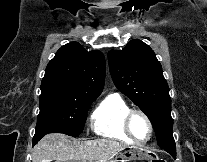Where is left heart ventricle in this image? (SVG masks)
Instances as JSON below:
<instances>
[{
	"mask_svg": "<svg viewBox=\"0 0 207 162\" xmlns=\"http://www.w3.org/2000/svg\"><path fill=\"white\" fill-rule=\"evenodd\" d=\"M131 131L138 140H144L149 135V128L142 116H135L131 121Z\"/></svg>",
	"mask_w": 207,
	"mask_h": 162,
	"instance_id": "1",
	"label": "left heart ventricle"
}]
</instances>
